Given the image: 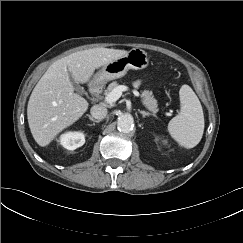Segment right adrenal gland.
Listing matches in <instances>:
<instances>
[{
    "label": "right adrenal gland",
    "instance_id": "1",
    "mask_svg": "<svg viewBox=\"0 0 243 243\" xmlns=\"http://www.w3.org/2000/svg\"><path fill=\"white\" fill-rule=\"evenodd\" d=\"M87 116L89 117V119L95 123H99V120H95L93 117H91L90 115L87 114Z\"/></svg>",
    "mask_w": 243,
    "mask_h": 243
}]
</instances>
